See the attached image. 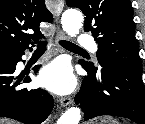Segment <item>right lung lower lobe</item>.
Here are the masks:
<instances>
[{
	"instance_id": "obj_1",
	"label": "right lung lower lobe",
	"mask_w": 145,
	"mask_h": 124,
	"mask_svg": "<svg viewBox=\"0 0 145 124\" xmlns=\"http://www.w3.org/2000/svg\"><path fill=\"white\" fill-rule=\"evenodd\" d=\"M24 51L0 54V117H8L25 124H40L53 109V97L45 90L19 89L29 83V76L15 77L16 64ZM40 66H35L37 72Z\"/></svg>"
}]
</instances>
